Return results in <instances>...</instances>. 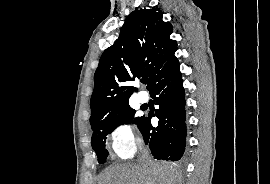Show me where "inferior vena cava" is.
<instances>
[{"instance_id":"obj_1","label":"inferior vena cava","mask_w":270,"mask_h":184,"mask_svg":"<svg viewBox=\"0 0 270 184\" xmlns=\"http://www.w3.org/2000/svg\"><path fill=\"white\" fill-rule=\"evenodd\" d=\"M140 163L144 166H149L152 164V161L148 156V152L146 149L143 150L142 157L140 158Z\"/></svg>"}]
</instances>
